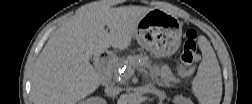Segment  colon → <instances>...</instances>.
<instances>
[{"instance_id":"colon-1","label":"colon","mask_w":252,"mask_h":104,"mask_svg":"<svg viewBox=\"0 0 252 104\" xmlns=\"http://www.w3.org/2000/svg\"><path fill=\"white\" fill-rule=\"evenodd\" d=\"M181 61L187 70L197 61V33L194 29H189L185 33Z\"/></svg>"}]
</instances>
